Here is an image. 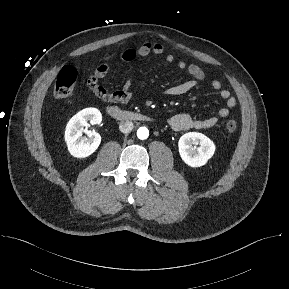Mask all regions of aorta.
Instances as JSON below:
<instances>
[{
  "instance_id": "1",
  "label": "aorta",
  "mask_w": 289,
  "mask_h": 289,
  "mask_svg": "<svg viewBox=\"0 0 289 289\" xmlns=\"http://www.w3.org/2000/svg\"><path fill=\"white\" fill-rule=\"evenodd\" d=\"M149 136V130L146 127H140L137 130V137L141 140L147 139Z\"/></svg>"
}]
</instances>
